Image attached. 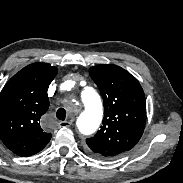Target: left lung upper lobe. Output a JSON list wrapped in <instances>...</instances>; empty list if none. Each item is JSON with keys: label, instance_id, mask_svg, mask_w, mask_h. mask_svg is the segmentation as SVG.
Wrapping results in <instances>:
<instances>
[{"label": "left lung upper lobe", "instance_id": "1", "mask_svg": "<svg viewBox=\"0 0 183 183\" xmlns=\"http://www.w3.org/2000/svg\"><path fill=\"white\" fill-rule=\"evenodd\" d=\"M104 103L103 126L86 139L94 157L111 159L130 150L140 140L146 123V101L137 79L123 68L101 64L89 69Z\"/></svg>", "mask_w": 183, "mask_h": 183}]
</instances>
